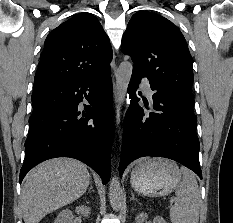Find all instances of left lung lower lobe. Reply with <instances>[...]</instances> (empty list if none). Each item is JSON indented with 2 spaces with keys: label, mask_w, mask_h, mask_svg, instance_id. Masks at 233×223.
I'll return each instance as SVG.
<instances>
[{
  "label": "left lung lower lobe",
  "mask_w": 233,
  "mask_h": 223,
  "mask_svg": "<svg viewBox=\"0 0 233 223\" xmlns=\"http://www.w3.org/2000/svg\"><path fill=\"white\" fill-rule=\"evenodd\" d=\"M141 73L133 69L128 86L131 105L123 124L122 151L119 173L133 160L144 156L165 157L193 170L201 179L197 118L193 112L194 99L153 94V108L146 112L138 105L136 96Z\"/></svg>",
  "instance_id": "0a47b994"
}]
</instances>
